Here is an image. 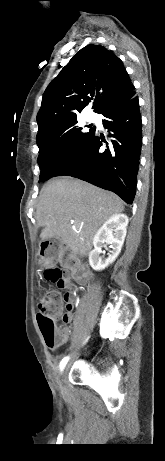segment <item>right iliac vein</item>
I'll return each instance as SVG.
<instances>
[{"label":"right iliac vein","instance_id":"obj_1","mask_svg":"<svg viewBox=\"0 0 165 461\" xmlns=\"http://www.w3.org/2000/svg\"><path fill=\"white\" fill-rule=\"evenodd\" d=\"M68 368H69V365H67L62 371V383L65 382V375H66V373L68 371Z\"/></svg>","mask_w":165,"mask_h":461}]
</instances>
